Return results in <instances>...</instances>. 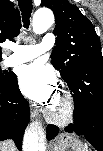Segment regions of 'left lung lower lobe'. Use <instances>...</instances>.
Returning <instances> with one entry per match:
<instances>
[{
    "mask_svg": "<svg viewBox=\"0 0 103 151\" xmlns=\"http://www.w3.org/2000/svg\"><path fill=\"white\" fill-rule=\"evenodd\" d=\"M90 78L75 76L68 87L74 99V124L66 131L82 135L97 150H103V62L91 61ZM47 139L59 132L58 127H47Z\"/></svg>",
    "mask_w": 103,
    "mask_h": 151,
    "instance_id": "1",
    "label": "left lung lower lobe"
}]
</instances>
